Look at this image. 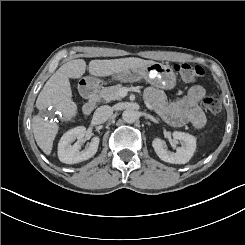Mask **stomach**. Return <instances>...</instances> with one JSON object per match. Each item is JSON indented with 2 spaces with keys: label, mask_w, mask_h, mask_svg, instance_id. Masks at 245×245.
Here are the masks:
<instances>
[{
  "label": "stomach",
  "mask_w": 245,
  "mask_h": 245,
  "mask_svg": "<svg viewBox=\"0 0 245 245\" xmlns=\"http://www.w3.org/2000/svg\"><path fill=\"white\" fill-rule=\"evenodd\" d=\"M110 80L121 83H134L140 80L163 89H170L175 84V76L171 67L167 63L152 62L140 67L129 68L124 71L113 73ZM102 78L95 75L85 76L79 83V89L86 94H90L97 90Z\"/></svg>",
  "instance_id": "0dacf381"
}]
</instances>
